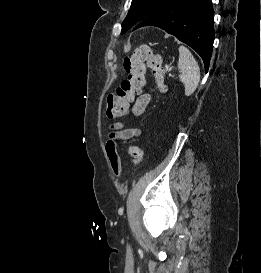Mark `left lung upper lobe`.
Returning a JSON list of instances; mask_svg holds the SVG:
<instances>
[{"mask_svg":"<svg viewBox=\"0 0 261 273\" xmlns=\"http://www.w3.org/2000/svg\"><path fill=\"white\" fill-rule=\"evenodd\" d=\"M170 0H132L130 10L122 23L121 33H125L136 22L141 21L146 16L160 7L165 6Z\"/></svg>","mask_w":261,"mask_h":273,"instance_id":"obj_1","label":"left lung upper lobe"}]
</instances>
